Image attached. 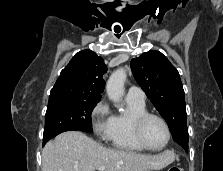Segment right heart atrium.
<instances>
[{
    "label": "right heart atrium",
    "instance_id": "d8ad5b80",
    "mask_svg": "<svg viewBox=\"0 0 223 171\" xmlns=\"http://www.w3.org/2000/svg\"><path fill=\"white\" fill-rule=\"evenodd\" d=\"M112 115L108 103L105 100L99 101L91 112V121L94 132L106 137L111 127Z\"/></svg>",
    "mask_w": 223,
    "mask_h": 171
}]
</instances>
